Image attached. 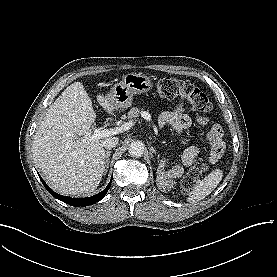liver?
I'll use <instances>...</instances> for the list:
<instances>
[{"mask_svg": "<svg viewBox=\"0 0 277 277\" xmlns=\"http://www.w3.org/2000/svg\"><path fill=\"white\" fill-rule=\"evenodd\" d=\"M97 101L109 114L116 109L107 96L99 94ZM95 119L91 98L81 82H74L49 107L36 129L34 162L56 192L79 197L98 187L105 171L107 138H91Z\"/></svg>", "mask_w": 277, "mask_h": 277, "instance_id": "obj_1", "label": "liver"}]
</instances>
